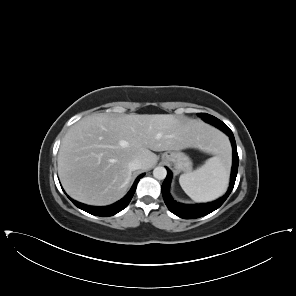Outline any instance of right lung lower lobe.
<instances>
[{"mask_svg": "<svg viewBox=\"0 0 296 296\" xmlns=\"http://www.w3.org/2000/svg\"><path fill=\"white\" fill-rule=\"evenodd\" d=\"M144 175L145 174H141L140 176H138L137 179L135 180L131 190L128 192V194L124 198H122L120 201H118L112 205L104 206V207H95V206H88V205L79 203V202L74 201L72 199L71 200L75 206H77L78 208H80V209L84 210L85 212H88L92 215L104 216V217L112 216L127 207V205L129 204V202L132 199L133 194L136 190L138 181Z\"/></svg>", "mask_w": 296, "mask_h": 296, "instance_id": "right-lung-lower-lobe-1", "label": "right lung lower lobe"}]
</instances>
